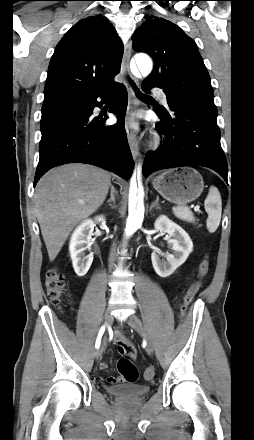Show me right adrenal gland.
Returning <instances> with one entry per match:
<instances>
[{
	"label": "right adrenal gland",
	"mask_w": 254,
	"mask_h": 440,
	"mask_svg": "<svg viewBox=\"0 0 254 440\" xmlns=\"http://www.w3.org/2000/svg\"><path fill=\"white\" fill-rule=\"evenodd\" d=\"M115 194H116V191H115L114 187L111 185L110 199L107 200V203L109 204V206L111 208L115 207L114 206L115 205Z\"/></svg>",
	"instance_id": "obj_1"
}]
</instances>
